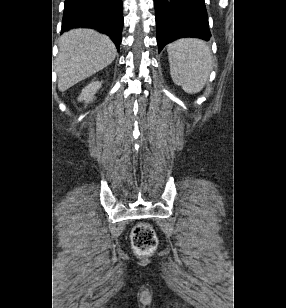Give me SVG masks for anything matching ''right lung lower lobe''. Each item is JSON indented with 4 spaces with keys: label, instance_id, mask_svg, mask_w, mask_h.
I'll return each instance as SVG.
<instances>
[{
    "label": "right lung lower lobe",
    "instance_id": "obj_1",
    "mask_svg": "<svg viewBox=\"0 0 286 308\" xmlns=\"http://www.w3.org/2000/svg\"><path fill=\"white\" fill-rule=\"evenodd\" d=\"M123 24L122 0H65L61 33L72 28L98 29L119 50Z\"/></svg>",
    "mask_w": 286,
    "mask_h": 308
}]
</instances>
